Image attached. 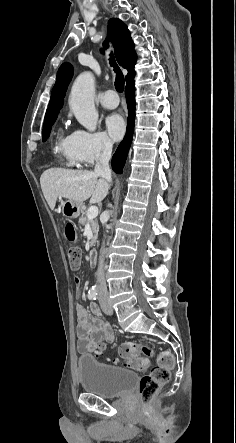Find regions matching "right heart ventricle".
<instances>
[{
	"mask_svg": "<svg viewBox=\"0 0 236 443\" xmlns=\"http://www.w3.org/2000/svg\"><path fill=\"white\" fill-rule=\"evenodd\" d=\"M56 149L58 153L62 156L64 162L68 166H75L78 163L70 155L69 149V136L63 137L61 132L57 135L55 142Z\"/></svg>",
	"mask_w": 236,
	"mask_h": 443,
	"instance_id": "right-heart-ventricle-1",
	"label": "right heart ventricle"
}]
</instances>
